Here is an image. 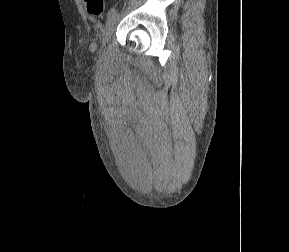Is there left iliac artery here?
Listing matches in <instances>:
<instances>
[{
	"instance_id": "1",
	"label": "left iliac artery",
	"mask_w": 289,
	"mask_h": 252,
	"mask_svg": "<svg viewBox=\"0 0 289 252\" xmlns=\"http://www.w3.org/2000/svg\"><path fill=\"white\" fill-rule=\"evenodd\" d=\"M114 14H116V8L113 7L111 8L108 13H107V17L110 18L111 16H113Z\"/></svg>"
}]
</instances>
